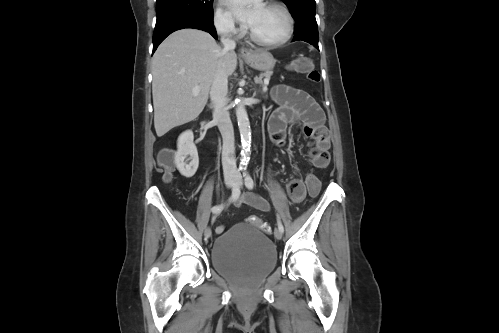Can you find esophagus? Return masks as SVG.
I'll return each mask as SVG.
<instances>
[{
  "instance_id": "34e87169",
  "label": "esophagus",
  "mask_w": 499,
  "mask_h": 333,
  "mask_svg": "<svg viewBox=\"0 0 499 333\" xmlns=\"http://www.w3.org/2000/svg\"><path fill=\"white\" fill-rule=\"evenodd\" d=\"M239 54L240 56L242 57H247L251 54V51L245 47H241L240 50H239Z\"/></svg>"
}]
</instances>
